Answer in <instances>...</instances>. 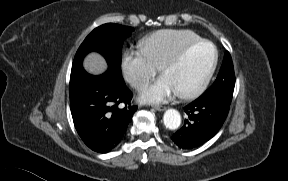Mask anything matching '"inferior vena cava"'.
Segmentation results:
<instances>
[{
  "mask_svg": "<svg viewBox=\"0 0 288 181\" xmlns=\"http://www.w3.org/2000/svg\"><path fill=\"white\" fill-rule=\"evenodd\" d=\"M145 83H146L145 80H138V81L135 82V85L136 86H141V85H144Z\"/></svg>",
  "mask_w": 288,
  "mask_h": 181,
  "instance_id": "obj_1",
  "label": "inferior vena cava"
}]
</instances>
